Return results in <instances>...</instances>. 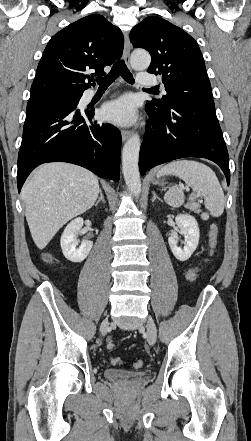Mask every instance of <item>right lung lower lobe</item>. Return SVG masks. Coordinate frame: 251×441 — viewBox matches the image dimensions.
Returning <instances> with one entry per match:
<instances>
[{"label": "right lung lower lobe", "instance_id": "98d812e1", "mask_svg": "<svg viewBox=\"0 0 251 441\" xmlns=\"http://www.w3.org/2000/svg\"><path fill=\"white\" fill-rule=\"evenodd\" d=\"M78 102L29 99L18 154V192L31 171L46 162H69L99 177L119 180L120 131L93 123L94 112L80 113Z\"/></svg>", "mask_w": 251, "mask_h": 441}]
</instances>
